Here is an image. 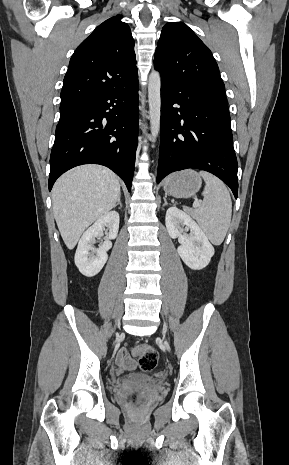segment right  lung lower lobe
Masks as SVG:
<instances>
[{
    "mask_svg": "<svg viewBox=\"0 0 289 465\" xmlns=\"http://www.w3.org/2000/svg\"><path fill=\"white\" fill-rule=\"evenodd\" d=\"M138 87L136 76L119 89L83 102V111L59 122L50 156L49 191L61 174L89 163L107 166L131 190L138 140Z\"/></svg>",
    "mask_w": 289,
    "mask_h": 465,
    "instance_id": "98d812e1",
    "label": "right lung lower lobe"
}]
</instances>
